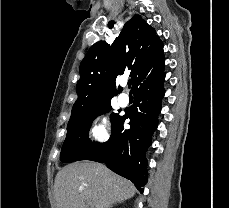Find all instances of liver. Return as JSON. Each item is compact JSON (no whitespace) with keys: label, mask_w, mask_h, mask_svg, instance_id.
Masks as SVG:
<instances>
[{"label":"liver","mask_w":229,"mask_h":208,"mask_svg":"<svg viewBox=\"0 0 229 208\" xmlns=\"http://www.w3.org/2000/svg\"><path fill=\"white\" fill-rule=\"evenodd\" d=\"M57 208H111L136 192L132 182L97 162H75L58 172L54 184Z\"/></svg>","instance_id":"obj_1"}]
</instances>
